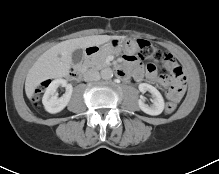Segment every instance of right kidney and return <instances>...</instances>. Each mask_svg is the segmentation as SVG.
Instances as JSON below:
<instances>
[{
  "mask_svg": "<svg viewBox=\"0 0 219 174\" xmlns=\"http://www.w3.org/2000/svg\"><path fill=\"white\" fill-rule=\"evenodd\" d=\"M60 86L65 87L66 92L61 97H58L56 90ZM72 91V85L68 84L65 79L60 78L53 80L47 87L42 98V103L45 107V110L52 114L62 111L69 103Z\"/></svg>",
  "mask_w": 219,
  "mask_h": 174,
  "instance_id": "ca27d5eb",
  "label": "right kidney"
}]
</instances>
